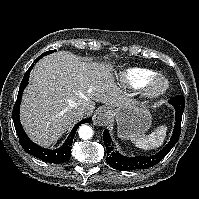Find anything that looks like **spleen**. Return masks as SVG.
Wrapping results in <instances>:
<instances>
[{
  "mask_svg": "<svg viewBox=\"0 0 199 199\" xmlns=\"http://www.w3.org/2000/svg\"><path fill=\"white\" fill-rule=\"evenodd\" d=\"M166 132L167 127L160 126L150 134H137L131 136V141L135 144L136 147L144 150H148L150 148H158L163 144L166 137Z\"/></svg>",
  "mask_w": 199,
  "mask_h": 199,
  "instance_id": "spleen-1",
  "label": "spleen"
}]
</instances>
